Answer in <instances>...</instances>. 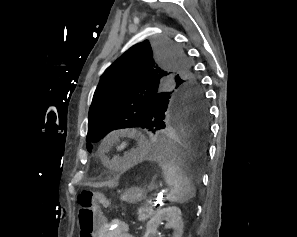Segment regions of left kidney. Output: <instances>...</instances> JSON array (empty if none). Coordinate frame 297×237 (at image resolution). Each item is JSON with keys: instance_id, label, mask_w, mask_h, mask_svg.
<instances>
[{"instance_id": "obj_1", "label": "left kidney", "mask_w": 297, "mask_h": 237, "mask_svg": "<svg viewBox=\"0 0 297 237\" xmlns=\"http://www.w3.org/2000/svg\"><path fill=\"white\" fill-rule=\"evenodd\" d=\"M181 210L176 206L159 209L150 219L146 226V232L143 237H157L158 227L163 220H166L165 228H172V237H181L183 233V221Z\"/></svg>"}]
</instances>
